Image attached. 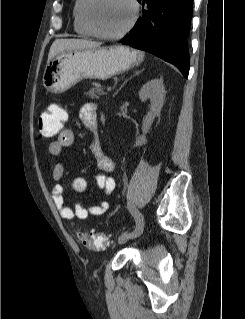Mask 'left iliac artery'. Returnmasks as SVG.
I'll return each mask as SVG.
<instances>
[{
	"mask_svg": "<svg viewBox=\"0 0 245 319\" xmlns=\"http://www.w3.org/2000/svg\"><path fill=\"white\" fill-rule=\"evenodd\" d=\"M130 212L136 220V227H135L134 231L141 232L143 230V227H144V217L134 206H130ZM128 234H131V233L128 232Z\"/></svg>",
	"mask_w": 245,
	"mask_h": 319,
	"instance_id": "left-iliac-artery-1",
	"label": "left iliac artery"
}]
</instances>
